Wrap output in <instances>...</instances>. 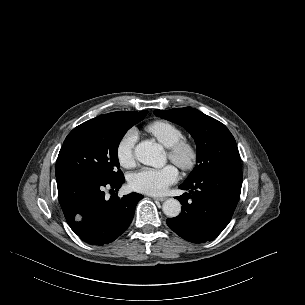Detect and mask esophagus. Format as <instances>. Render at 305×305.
I'll return each instance as SVG.
<instances>
[{"mask_svg":"<svg viewBox=\"0 0 305 305\" xmlns=\"http://www.w3.org/2000/svg\"><path fill=\"white\" fill-rule=\"evenodd\" d=\"M154 199L162 202L165 201L167 197H154Z\"/></svg>","mask_w":305,"mask_h":305,"instance_id":"1","label":"esophagus"}]
</instances>
